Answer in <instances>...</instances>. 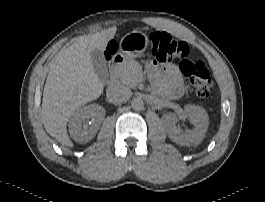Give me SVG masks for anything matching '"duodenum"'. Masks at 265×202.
<instances>
[{"label":"duodenum","instance_id":"duodenum-1","mask_svg":"<svg viewBox=\"0 0 265 202\" xmlns=\"http://www.w3.org/2000/svg\"><path fill=\"white\" fill-rule=\"evenodd\" d=\"M124 58L122 55L117 54L114 56L113 60L109 64V72L107 76V82L113 83L115 81V78L117 76L118 68L121 63H123Z\"/></svg>","mask_w":265,"mask_h":202}]
</instances>
